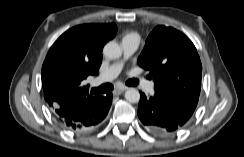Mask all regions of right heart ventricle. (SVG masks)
<instances>
[{"label":"right heart ventricle","instance_id":"obj_1","mask_svg":"<svg viewBox=\"0 0 244 157\" xmlns=\"http://www.w3.org/2000/svg\"><path fill=\"white\" fill-rule=\"evenodd\" d=\"M127 36L138 38V35L134 32L128 33L125 37H127Z\"/></svg>","mask_w":244,"mask_h":157}]
</instances>
